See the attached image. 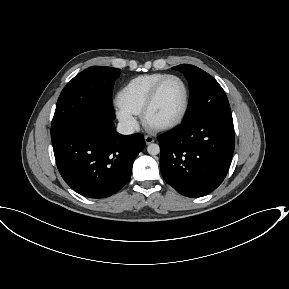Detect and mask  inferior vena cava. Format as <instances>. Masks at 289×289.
<instances>
[{"mask_svg": "<svg viewBox=\"0 0 289 289\" xmlns=\"http://www.w3.org/2000/svg\"><path fill=\"white\" fill-rule=\"evenodd\" d=\"M135 127L129 122H119L117 125V132L123 135L133 134Z\"/></svg>", "mask_w": 289, "mask_h": 289, "instance_id": "inferior-vena-cava-1", "label": "inferior vena cava"}]
</instances>
